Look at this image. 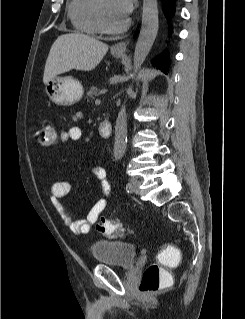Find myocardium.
<instances>
[{"label": "myocardium", "mask_w": 245, "mask_h": 319, "mask_svg": "<svg viewBox=\"0 0 245 319\" xmlns=\"http://www.w3.org/2000/svg\"><path fill=\"white\" fill-rule=\"evenodd\" d=\"M97 18H98V24L100 27L101 32L105 34H119L124 32L128 26H129V20H125L123 23L119 25H111L107 21L105 17V12L102 5V0L98 1L97 4Z\"/></svg>", "instance_id": "myocardium-1"}]
</instances>
